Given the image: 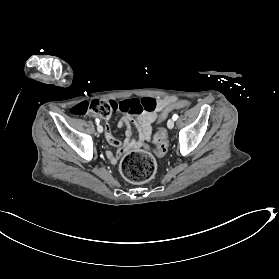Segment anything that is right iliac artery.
I'll use <instances>...</instances> for the list:
<instances>
[{
  "label": "right iliac artery",
  "mask_w": 279,
  "mask_h": 279,
  "mask_svg": "<svg viewBox=\"0 0 279 279\" xmlns=\"http://www.w3.org/2000/svg\"><path fill=\"white\" fill-rule=\"evenodd\" d=\"M95 121H96L97 124H99V122H100L99 119H96Z\"/></svg>",
  "instance_id": "obj_1"
}]
</instances>
